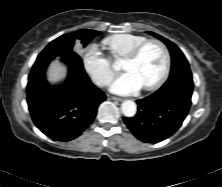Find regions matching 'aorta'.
<instances>
[{"label":"aorta","mask_w":222,"mask_h":187,"mask_svg":"<svg viewBox=\"0 0 222 187\" xmlns=\"http://www.w3.org/2000/svg\"><path fill=\"white\" fill-rule=\"evenodd\" d=\"M122 113L126 117H133L136 114L137 106L131 100H125L121 105Z\"/></svg>","instance_id":"obj_1"}]
</instances>
